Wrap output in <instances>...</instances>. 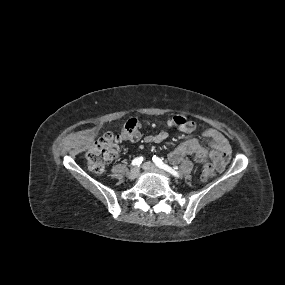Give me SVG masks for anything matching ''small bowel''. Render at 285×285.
Segmentation results:
<instances>
[{
	"mask_svg": "<svg viewBox=\"0 0 285 285\" xmlns=\"http://www.w3.org/2000/svg\"><path fill=\"white\" fill-rule=\"evenodd\" d=\"M167 127H172L169 121ZM204 137L210 140V148L201 145L197 137H191L183 141L178 147L168 153V159L173 164L180 163L187 155H193L197 163L212 160L216 169L220 172L224 170L231 155V146L225 136L214 129H209L204 133ZM168 138L165 130L144 137L146 143H161Z\"/></svg>",
	"mask_w": 285,
	"mask_h": 285,
	"instance_id": "obj_1",
	"label": "small bowel"
}]
</instances>
